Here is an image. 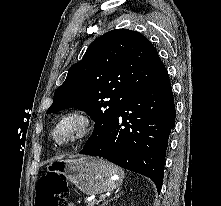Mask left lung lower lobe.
Returning <instances> with one entry per match:
<instances>
[{
    "label": "left lung lower lobe",
    "instance_id": "obj_1",
    "mask_svg": "<svg viewBox=\"0 0 221 206\" xmlns=\"http://www.w3.org/2000/svg\"><path fill=\"white\" fill-rule=\"evenodd\" d=\"M174 125V98L166 71L132 96L109 130L79 153L103 157L145 175L154 181L159 192Z\"/></svg>",
    "mask_w": 221,
    "mask_h": 206
}]
</instances>
